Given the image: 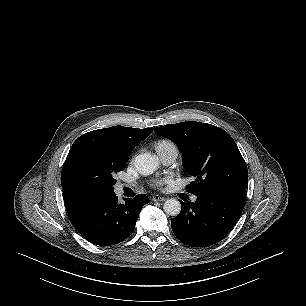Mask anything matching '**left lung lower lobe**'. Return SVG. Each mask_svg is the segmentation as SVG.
Here are the masks:
<instances>
[{
	"label": "left lung lower lobe",
	"instance_id": "0a47b994",
	"mask_svg": "<svg viewBox=\"0 0 306 306\" xmlns=\"http://www.w3.org/2000/svg\"><path fill=\"white\" fill-rule=\"evenodd\" d=\"M181 205V212L171 220L175 236L187 245L205 247L219 242L230 233L240 218L245 198L209 194L197 196L194 203L181 202Z\"/></svg>",
	"mask_w": 306,
	"mask_h": 306
}]
</instances>
